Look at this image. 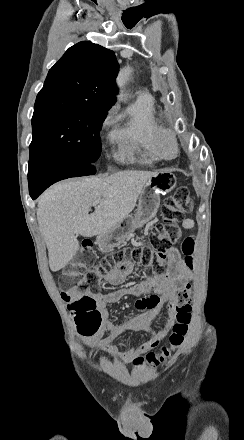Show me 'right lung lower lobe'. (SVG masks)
Listing matches in <instances>:
<instances>
[{
	"mask_svg": "<svg viewBox=\"0 0 244 440\" xmlns=\"http://www.w3.org/2000/svg\"><path fill=\"white\" fill-rule=\"evenodd\" d=\"M95 173L93 164H84L56 155H35L29 159V193L31 198L35 200L45 189L57 181Z\"/></svg>",
	"mask_w": 244,
	"mask_h": 440,
	"instance_id": "98d812e1",
	"label": "right lung lower lobe"
}]
</instances>
